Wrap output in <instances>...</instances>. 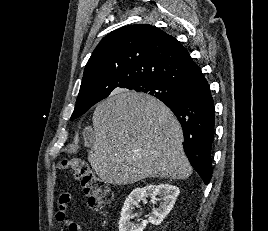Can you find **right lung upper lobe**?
<instances>
[{"mask_svg":"<svg viewBox=\"0 0 268 231\" xmlns=\"http://www.w3.org/2000/svg\"><path fill=\"white\" fill-rule=\"evenodd\" d=\"M202 77L173 36L149 24L128 25L100 41L86 64L76 103L96 104L119 87L151 81L180 89Z\"/></svg>","mask_w":268,"mask_h":231,"instance_id":"1","label":"right lung upper lobe"}]
</instances>
